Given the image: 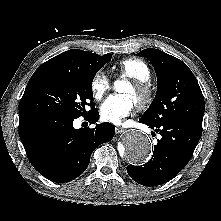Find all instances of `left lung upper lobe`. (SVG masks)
I'll use <instances>...</instances> for the list:
<instances>
[{
	"mask_svg": "<svg viewBox=\"0 0 221 221\" xmlns=\"http://www.w3.org/2000/svg\"><path fill=\"white\" fill-rule=\"evenodd\" d=\"M137 55L150 60L158 82L156 96L140 120L152 127L181 120L202 129L204 97L188 66L154 48L144 49Z\"/></svg>",
	"mask_w": 221,
	"mask_h": 221,
	"instance_id": "left-lung-upper-lobe-1",
	"label": "left lung upper lobe"
}]
</instances>
